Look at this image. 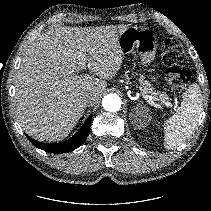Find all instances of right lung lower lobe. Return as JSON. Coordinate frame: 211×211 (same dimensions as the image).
<instances>
[{"mask_svg": "<svg viewBox=\"0 0 211 211\" xmlns=\"http://www.w3.org/2000/svg\"><path fill=\"white\" fill-rule=\"evenodd\" d=\"M91 120H92V115L85 121L83 126L79 129V131L73 137L61 143L46 144V143L34 140L29 136L27 137L35 147L45 150L46 152H50L54 154L67 153L69 151H72L78 148L85 141L90 131Z\"/></svg>", "mask_w": 211, "mask_h": 211, "instance_id": "right-lung-lower-lobe-1", "label": "right lung lower lobe"}]
</instances>
